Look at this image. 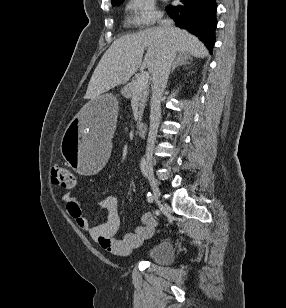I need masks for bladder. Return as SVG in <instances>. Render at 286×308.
<instances>
[{
    "instance_id": "bladder-1",
    "label": "bladder",
    "mask_w": 286,
    "mask_h": 308,
    "mask_svg": "<svg viewBox=\"0 0 286 308\" xmlns=\"http://www.w3.org/2000/svg\"><path fill=\"white\" fill-rule=\"evenodd\" d=\"M144 256L147 261L168 264L174 257L173 245L168 241H160L151 246Z\"/></svg>"
}]
</instances>
